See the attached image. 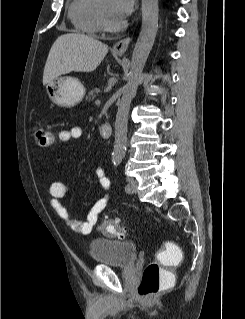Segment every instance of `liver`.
Segmentation results:
<instances>
[{
    "instance_id": "obj_1",
    "label": "liver",
    "mask_w": 245,
    "mask_h": 319,
    "mask_svg": "<svg viewBox=\"0 0 245 319\" xmlns=\"http://www.w3.org/2000/svg\"><path fill=\"white\" fill-rule=\"evenodd\" d=\"M107 53L108 46L93 37L81 33L63 34L49 51L44 67L43 85L72 71H94Z\"/></svg>"
}]
</instances>
